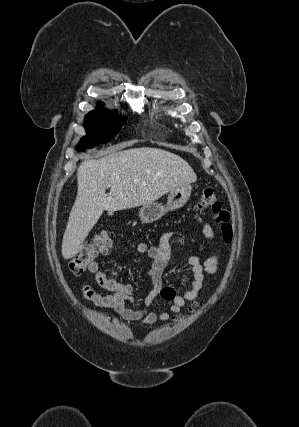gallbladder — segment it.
<instances>
[{
  "label": "gallbladder",
  "mask_w": 299,
  "mask_h": 427,
  "mask_svg": "<svg viewBox=\"0 0 299 427\" xmlns=\"http://www.w3.org/2000/svg\"><path fill=\"white\" fill-rule=\"evenodd\" d=\"M113 212L112 211H108V216H112Z\"/></svg>",
  "instance_id": "gallbladder-1"
}]
</instances>
